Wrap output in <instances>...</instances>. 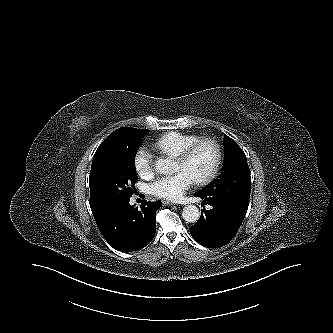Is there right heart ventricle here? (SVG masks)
Wrapping results in <instances>:
<instances>
[{"instance_id": "1", "label": "right heart ventricle", "mask_w": 333, "mask_h": 333, "mask_svg": "<svg viewBox=\"0 0 333 333\" xmlns=\"http://www.w3.org/2000/svg\"><path fill=\"white\" fill-rule=\"evenodd\" d=\"M200 137L180 132L163 134L153 143V149L161 154L177 158L182 152Z\"/></svg>"}]
</instances>
